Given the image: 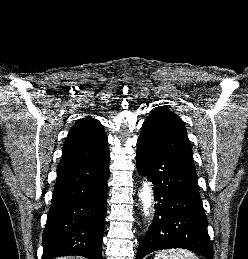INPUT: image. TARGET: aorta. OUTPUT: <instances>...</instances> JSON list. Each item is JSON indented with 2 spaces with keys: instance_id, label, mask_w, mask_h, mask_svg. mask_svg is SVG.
<instances>
[{
  "instance_id": "obj_1",
  "label": "aorta",
  "mask_w": 248,
  "mask_h": 259,
  "mask_svg": "<svg viewBox=\"0 0 248 259\" xmlns=\"http://www.w3.org/2000/svg\"><path fill=\"white\" fill-rule=\"evenodd\" d=\"M139 197L142 201L144 215L147 217L150 215L151 207L153 204V191L149 182H143L142 190L139 194Z\"/></svg>"
}]
</instances>
